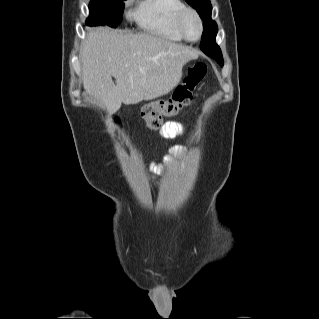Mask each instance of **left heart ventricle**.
Wrapping results in <instances>:
<instances>
[{"mask_svg":"<svg viewBox=\"0 0 319 319\" xmlns=\"http://www.w3.org/2000/svg\"><path fill=\"white\" fill-rule=\"evenodd\" d=\"M184 28L190 38H196L199 34V25L193 16H188L184 21Z\"/></svg>","mask_w":319,"mask_h":319,"instance_id":"b2bd125f","label":"left heart ventricle"}]
</instances>
